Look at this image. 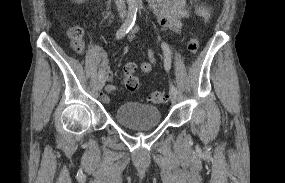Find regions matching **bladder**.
Returning a JSON list of instances; mask_svg holds the SVG:
<instances>
[{
  "label": "bladder",
  "mask_w": 285,
  "mask_h": 183,
  "mask_svg": "<svg viewBox=\"0 0 285 183\" xmlns=\"http://www.w3.org/2000/svg\"><path fill=\"white\" fill-rule=\"evenodd\" d=\"M115 117L119 124L130 127L157 126L161 122L160 110L157 107L137 102L119 106L115 111Z\"/></svg>",
  "instance_id": "bladder-1"
}]
</instances>
